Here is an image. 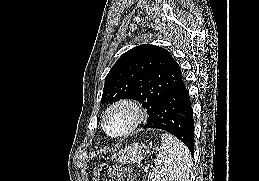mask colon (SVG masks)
I'll list each match as a JSON object with an SVG mask.
<instances>
[{"instance_id":"colon-1","label":"colon","mask_w":259,"mask_h":181,"mask_svg":"<svg viewBox=\"0 0 259 181\" xmlns=\"http://www.w3.org/2000/svg\"><path fill=\"white\" fill-rule=\"evenodd\" d=\"M94 181H136L129 168L121 165L99 164L93 171Z\"/></svg>"}]
</instances>
